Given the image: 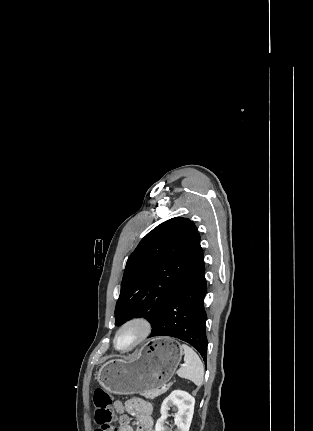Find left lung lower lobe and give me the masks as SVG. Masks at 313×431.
<instances>
[{
  "label": "left lung lower lobe",
  "instance_id": "1",
  "mask_svg": "<svg viewBox=\"0 0 313 431\" xmlns=\"http://www.w3.org/2000/svg\"><path fill=\"white\" fill-rule=\"evenodd\" d=\"M204 261L191 278L169 299L152 325V336H172L191 344L206 362L207 316L203 300L207 286Z\"/></svg>",
  "mask_w": 313,
  "mask_h": 431
}]
</instances>
